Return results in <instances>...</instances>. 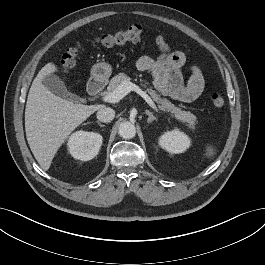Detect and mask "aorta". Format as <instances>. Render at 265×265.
<instances>
[{
  "mask_svg": "<svg viewBox=\"0 0 265 265\" xmlns=\"http://www.w3.org/2000/svg\"><path fill=\"white\" fill-rule=\"evenodd\" d=\"M118 134L124 139H131L136 134L135 125L131 122H123L120 124Z\"/></svg>",
  "mask_w": 265,
  "mask_h": 265,
  "instance_id": "1",
  "label": "aorta"
}]
</instances>
